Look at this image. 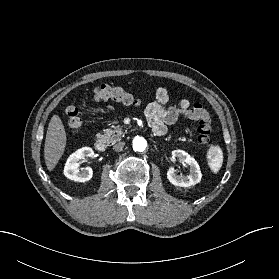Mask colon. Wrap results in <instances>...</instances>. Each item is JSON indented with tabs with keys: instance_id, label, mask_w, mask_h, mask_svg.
<instances>
[{
	"instance_id": "5ec220e1",
	"label": "colon",
	"mask_w": 279,
	"mask_h": 279,
	"mask_svg": "<svg viewBox=\"0 0 279 279\" xmlns=\"http://www.w3.org/2000/svg\"><path fill=\"white\" fill-rule=\"evenodd\" d=\"M94 98L97 101H114L124 105H136L139 100L130 92L119 86L107 84L100 85L94 90ZM68 125L74 131H79L82 126L79 109L76 106L66 108ZM189 117L197 122V139L201 144L209 143L212 135V122L207 111L201 104L195 103L189 110Z\"/></svg>"
}]
</instances>
